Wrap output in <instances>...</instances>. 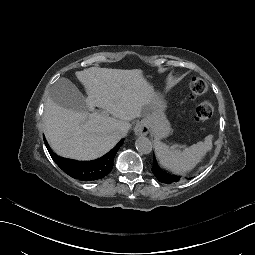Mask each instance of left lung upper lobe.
Listing matches in <instances>:
<instances>
[{
    "instance_id": "1",
    "label": "left lung upper lobe",
    "mask_w": 255,
    "mask_h": 255,
    "mask_svg": "<svg viewBox=\"0 0 255 255\" xmlns=\"http://www.w3.org/2000/svg\"><path fill=\"white\" fill-rule=\"evenodd\" d=\"M157 179H158V178H157ZM159 181L161 182V180H159ZM174 182H177V181H174ZM174 182H173V183H174Z\"/></svg>"
}]
</instances>
